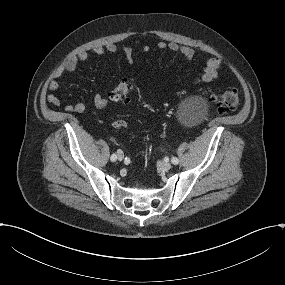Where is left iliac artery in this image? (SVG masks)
<instances>
[{
    "label": "left iliac artery",
    "instance_id": "1",
    "mask_svg": "<svg viewBox=\"0 0 285 285\" xmlns=\"http://www.w3.org/2000/svg\"><path fill=\"white\" fill-rule=\"evenodd\" d=\"M171 162L174 164V165H177L179 163V160L176 158V157H173L171 159Z\"/></svg>",
    "mask_w": 285,
    "mask_h": 285
}]
</instances>
